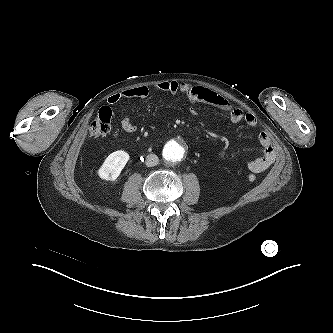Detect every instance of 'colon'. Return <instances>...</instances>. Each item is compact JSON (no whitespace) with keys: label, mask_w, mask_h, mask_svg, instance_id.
<instances>
[{"label":"colon","mask_w":333,"mask_h":333,"mask_svg":"<svg viewBox=\"0 0 333 333\" xmlns=\"http://www.w3.org/2000/svg\"><path fill=\"white\" fill-rule=\"evenodd\" d=\"M112 121H113L112 110L106 106L102 107L99 110L97 117L92 121L90 125L91 135L96 137L106 135L111 129ZM247 178L249 182L256 181V175L253 173H250Z\"/></svg>","instance_id":"1"}]
</instances>
